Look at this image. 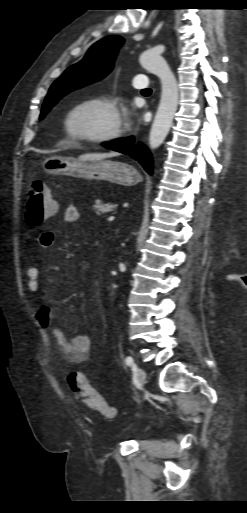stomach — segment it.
I'll return each instance as SVG.
<instances>
[{
	"mask_svg": "<svg viewBox=\"0 0 247 513\" xmlns=\"http://www.w3.org/2000/svg\"><path fill=\"white\" fill-rule=\"evenodd\" d=\"M42 167L48 174L104 180L124 186H133L142 179L139 172L128 163L106 159L84 160L52 156L42 163Z\"/></svg>",
	"mask_w": 247,
	"mask_h": 513,
	"instance_id": "obj_1",
	"label": "stomach"
}]
</instances>
